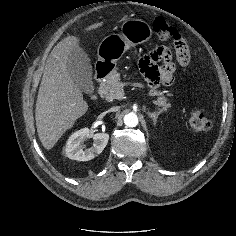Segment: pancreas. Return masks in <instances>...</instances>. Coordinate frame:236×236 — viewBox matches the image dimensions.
<instances>
[{
    "mask_svg": "<svg viewBox=\"0 0 236 236\" xmlns=\"http://www.w3.org/2000/svg\"><path fill=\"white\" fill-rule=\"evenodd\" d=\"M120 73L113 70L106 76V80L100 85V93L108 101L119 99L122 96V86L120 85ZM149 96H157L153 102L161 107V111H167L171 105L167 103L168 99L164 96V92L157 89H150Z\"/></svg>",
    "mask_w": 236,
    "mask_h": 236,
    "instance_id": "obj_1",
    "label": "pancreas"
}]
</instances>
